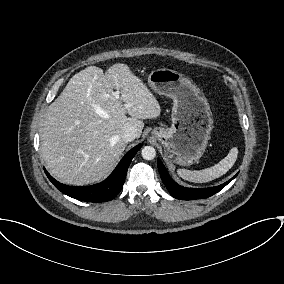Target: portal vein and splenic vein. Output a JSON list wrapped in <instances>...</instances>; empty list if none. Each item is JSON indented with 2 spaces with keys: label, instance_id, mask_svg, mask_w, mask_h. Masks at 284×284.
I'll list each match as a JSON object with an SVG mask.
<instances>
[{
  "label": "portal vein and splenic vein",
  "instance_id": "1",
  "mask_svg": "<svg viewBox=\"0 0 284 284\" xmlns=\"http://www.w3.org/2000/svg\"><path fill=\"white\" fill-rule=\"evenodd\" d=\"M113 96H114L116 99H119V92H118V91L114 92V93H113Z\"/></svg>",
  "mask_w": 284,
  "mask_h": 284
}]
</instances>
